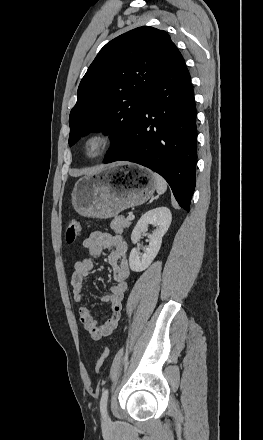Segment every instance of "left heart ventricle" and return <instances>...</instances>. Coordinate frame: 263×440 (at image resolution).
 Returning <instances> with one entry per match:
<instances>
[{
	"label": "left heart ventricle",
	"instance_id": "1",
	"mask_svg": "<svg viewBox=\"0 0 263 440\" xmlns=\"http://www.w3.org/2000/svg\"><path fill=\"white\" fill-rule=\"evenodd\" d=\"M96 149H97V143H96V142H92V143L89 145V151H90V152H94V151H96Z\"/></svg>",
	"mask_w": 263,
	"mask_h": 440
}]
</instances>
